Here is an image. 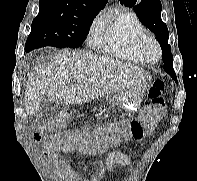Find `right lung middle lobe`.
Returning a JSON list of instances; mask_svg holds the SVG:
<instances>
[{
    "mask_svg": "<svg viewBox=\"0 0 197 181\" xmlns=\"http://www.w3.org/2000/svg\"><path fill=\"white\" fill-rule=\"evenodd\" d=\"M97 14L77 16L39 12L33 19L31 33L26 41V51L53 46L77 48L83 44L90 25Z\"/></svg>",
    "mask_w": 197,
    "mask_h": 181,
    "instance_id": "right-lung-middle-lobe-1",
    "label": "right lung middle lobe"
}]
</instances>
